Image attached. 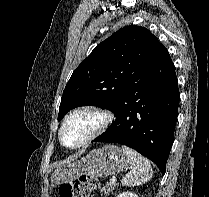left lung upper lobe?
Segmentation results:
<instances>
[{"label":"left lung upper lobe","mask_w":209,"mask_h":197,"mask_svg":"<svg viewBox=\"0 0 209 197\" xmlns=\"http://www.w3.org/2000/svg\"><path fill=\"white\" fill-rule=\"evenodd\" d=\"M163 48L146 28H121L97 45L74 70L63 91L58 118L82 105H97L113 112Z\"/></svg>","instance_id":"left-lung-upper-lobe-1"}]
</instances>
